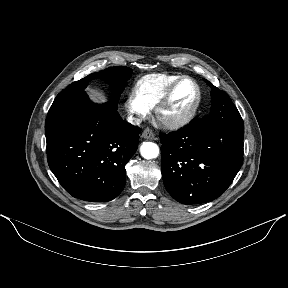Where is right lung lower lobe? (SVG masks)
I'll list each match as a JSON object with an SVG mask.
<instances>
[{"instance_id":"98d812e1","label":"right lung lower lobe","mask_w":288,"mask_h":288,"mask_svg":"<svg viewBox=\"0 0 288 288\" xmlns=\"http://www.w3.org/2000/svg\"><path fill=\"white\" fill-rule=\"evenodd\" d=\"M140 131L111 103L94 104L85 91L73 94L52 105L46 118L49 167L73 197L111 201L126 183L125 165Z\"/></svg>"}]
</instances>
